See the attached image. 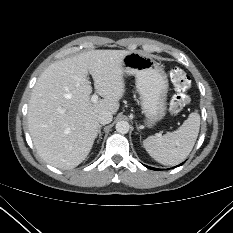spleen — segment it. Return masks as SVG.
I'll return each instance as SVG.
<instances>
[{"instance_id": "spleen-1", "label": "spleen", "mask_w": 233, "mask_h": 233, "mask_svg": "<svg viewBox=\"0 0 233 233\" xmlns=\"http://www.w3.org/2000/svg\"><path fill=\"white\" fill-rule=\"evenodd\" d=\"M200 129V115L193 112L175 131L143 141L149 155L163 165H177L190 154Z\"/></svg>"}]
</instances>
